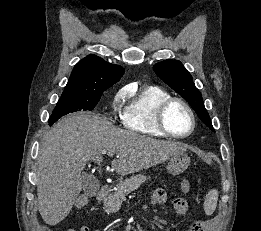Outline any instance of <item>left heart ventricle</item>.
<instances>
[{"label":"left heart ventricle","instance_id":"obj_1","mask_svg":"<svg viewBox=\"0 0 261 231\" xmlns=\"http://www.w3.org/2000/svg\"><path fill=\"white\" fill-rule=\"evenodd\" d=\"M168 128L175 134H185L191 128V119L188 111L179 103H174L166 113Z\"/></svg>","mask_w":261,"mask_h":231}]
</instances>
